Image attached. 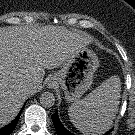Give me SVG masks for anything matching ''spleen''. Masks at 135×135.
I'll list each match as a JSON object with an SVG mask.
<instances>
[{
    "label": "spleen",
    "mask_w": 135,
    "mask_h": 135,
    "mask_svg": "<svg viewBox=\"0 0 135 135\" xmlns=\"http://www.w3.org/2000/svg\"><path fill=\"white\" fill-rule=\"evenodd\" d=\"M120 91V79L111 76L85 98L69 106L70 121L84 135L105 133L118 112Z\"/></svg>",
    "instance_id": "spleen-1"
}]
</instances>
